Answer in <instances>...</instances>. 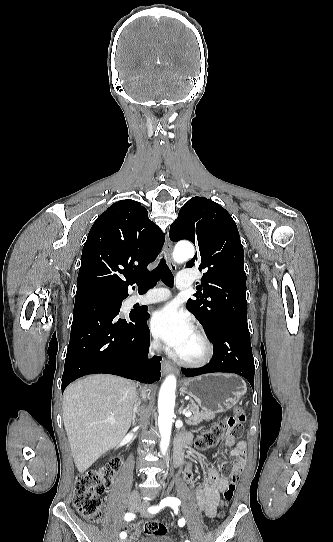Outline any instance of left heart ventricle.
<instances>
[{"label": "left heart ventricle", "instance_id": "obj_1", "mask_svg": "<svg viewBox=\"0 0 333 542\" xmlns=\"http://www.w3.org/2000/svg\"><path fill=\"white\" fill-rule=\"evenodd\" d=\"M202 346L195 332L188 337L176 352V356L186 359H194L201 355Z\"/></svg>", "mask_w": 333, "mask_h": 542}]
</instances>
